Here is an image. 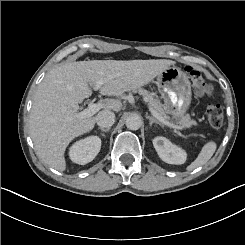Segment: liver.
Segmentation results:
<instances>
[{
	"label": "liver",
	"mask_w": 245,
	"mask_h": 245,
	"mask_svg": "<svg viewBox=\"0 0 245 245\" xmlns=\"http://www.w3.org/2000/svg\"><path fill=\"white\" fill-rule=\"evenodd\" d=\"M172 63L165 59L73 61L49 71L35 93L29 119L37 155L54 169H65L66 146L95 124L92 116L77 119L78 102L92 94L88 83L101 87L102 94L118 95L144 85ZM109 107L117 110L120 104L113 101Z\"/></svg>",
	"instance_id": "6515ba94"
}]
</instances>
